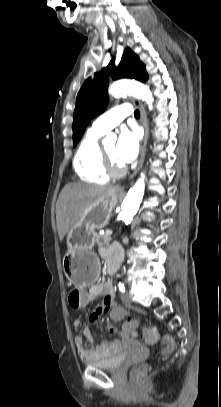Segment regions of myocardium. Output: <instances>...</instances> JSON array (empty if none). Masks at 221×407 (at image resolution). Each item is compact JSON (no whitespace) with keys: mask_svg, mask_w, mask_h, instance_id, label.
<instances>
[{"mask_svg":"<svg viewBox=\"0 0 221 407\" xmlns=\"http://www.w3.org/2000/svg\"><path fill=\"white\" fill-rule=\"evenodd\" d=\"M102 159H103L104 169H105L106 173L108 174V176L118 177V176H121V175H123L125 173V168L120 166V165H116L108 157L105 150H102Z\"/></svg>","mask_w":221,"mask_h":407,"instance_id":"obj_1","label":"myocardium"}]
</instances>
